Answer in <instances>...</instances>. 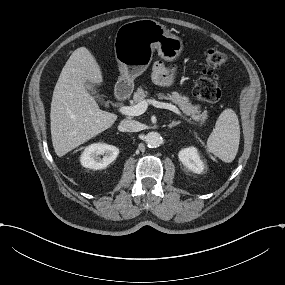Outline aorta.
I'll return each instance as SVG.
<instances>
[{
  "mask_svg": "<svg viewBox=\"0 0 285 285\" xmlns=\"http://www.w3.org/2000/svg\"><path fill=\"white\" fill-rule=\"evenodd\" d=\"M145 142L150 148L159 147L162 143V137L158 132H149L145 136Z\"/></svg>",
  "mask_w": 285,
  "mask_h": 285,
  "instance_id": "obj_1",
  "label": "aorta"
}]
</instances>
